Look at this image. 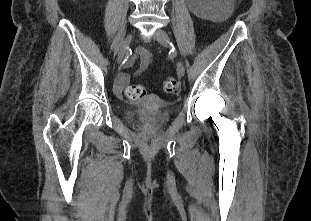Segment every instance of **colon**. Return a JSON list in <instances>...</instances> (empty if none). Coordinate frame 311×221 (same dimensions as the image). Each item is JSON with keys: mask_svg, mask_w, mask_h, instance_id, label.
Masks as SVG:
<instances>
[{"mask_svg": "<svg viewBox=\"0 0 311 221\" xmlns=\"http://www.w3.org/2000/svg\"><path fill=\"white\" fill-rule=\"evenodd\" d=\"M161 90L167 95H174L179 91V82L177 79L169 77L162 83ZM126 94L131 99H142L146 94V89L144 86L136 85L127 88Z\"/></svg>", "mask_w": 311, "mask_h": 221, "instance_id": "5ec220e1", "label": "colon"}]
</instances>
